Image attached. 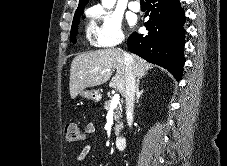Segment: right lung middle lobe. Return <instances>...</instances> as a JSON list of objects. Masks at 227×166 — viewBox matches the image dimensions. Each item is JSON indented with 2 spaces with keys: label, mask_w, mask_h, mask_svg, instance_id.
Returning a JSON list of instances; mask_svg holds the SVG:
<instances>
[{
  "label": "right lung middle lobe",
  "mask_w": 227,
  "mask_h": 166,
  "mask_svg": "<svg viewBox=\"0 0 227 166\" xmlns=\"http://www.w3.org/2000/svg\"><path fill=\"white\" fill-rule=\"evenodd\" d=\"M82 11H83V8H78L76 10L75 15H74V19H73V22H72L70 41L73 42V43L76 42L78 24H79L80 15H81Z\"/></svg>",
  "instance_id": "obj_1"
}]
</instances>
